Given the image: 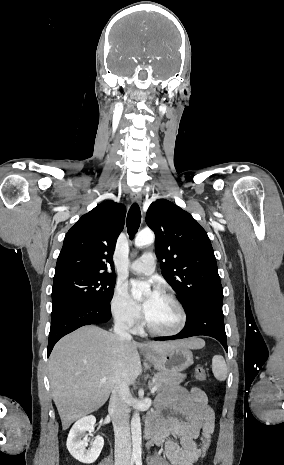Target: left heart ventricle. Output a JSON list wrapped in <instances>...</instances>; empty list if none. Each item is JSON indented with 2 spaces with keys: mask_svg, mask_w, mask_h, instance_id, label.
Instances as JSON below:
<instances>
[{
  "mask_svg": "<svg viewBox=\"0 0 284 465\" xmlns=\"http://www.w3.org/2000/svg\"><path fill=\"white\" fill-rule=\"evenodd\" d=\"M145 317L153 329L161 332L171 331L179 323L178 311L169 300L161 295H158Z\"/></svg>",
  "mask_w": 284,
  "mask_h": 465,
  "instance_id": "1",
  "label": "left heart ventricle"
}]
</instances>
